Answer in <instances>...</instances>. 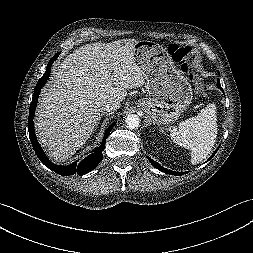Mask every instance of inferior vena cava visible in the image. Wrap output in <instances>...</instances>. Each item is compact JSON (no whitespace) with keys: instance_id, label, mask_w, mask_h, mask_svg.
<instances>
[{"instance_id":"obj_1","label":"inferior vena cava","mask_w":253,"mask_h":253,"mask_svg":"<svg viewBox=\"0 0 253 253\" xmlns=\"http://www.w3.org/2000/svg\"><path fill=\"white\" fill-rule=\"evenodd\" d=\"M120 105H121L120 101L108 99V100H104L101 103L100 110L102 113H107V112H111L113 110L120 108Z\"/></svg>"}]
</instances>
